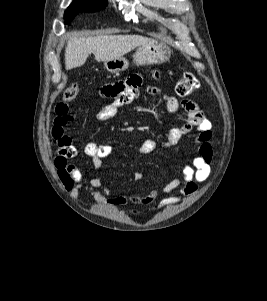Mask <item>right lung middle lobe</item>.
I'll use <instances>...</instances> for the list:
<instances>
[{"label": "right lung middle lobe", "instance_id": "obj_1", "mask_svg": "<svg viewBox=\"0 0 267 301\" xmlns=\"http://www.w3.org/2000/svg\"><path fill=\"white\" fill-rule=\"evenodd\" d=\"M107 5V0H74L65 11V22L70 24L71 20L79 12H95L103 9Z\"/></svg>", "mask_w": 267, "mask_h": 301}]
</instances>
